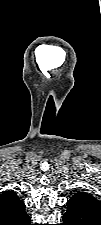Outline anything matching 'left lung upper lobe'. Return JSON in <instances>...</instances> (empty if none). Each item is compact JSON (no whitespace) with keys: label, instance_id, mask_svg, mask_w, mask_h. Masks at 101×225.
<instances>
[{"label":"left lung upper lobe","instance_id":"1","mask_svg":"<svg viewBox=\"0 0 101 225\" xmlns=\"http://www.w3.org/2000/svg\"><path fill=\"white\" fill-rule=\"evenodd\" d=\"M68 209L101 216V204L92 195L85 192L75 193L67 202Z\"/></svg>","mask_w":101,"mask_h":225}]
</instances>
